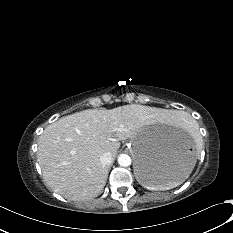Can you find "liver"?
I'll return each instance as SVG.
<instances>
[{"label": "liver", "instance_id": "liver-1", "mask_svg": "<svg viewBox=\"0 0 233 233\" xmlns=\"http://www.w3.org/2000/svg\"><path fill=\"white\" fill-rule=\"evenodd\" d=\"M179 111L130 104L114 109H87L50 124L38 140L37 158L45 183L73 201L98 196L107 180L108 168L100 156L115 157L120 141L142 128L169 124Z\"/></svg>", "mask_w": 233, "mask_h": 233}]
</instances>
